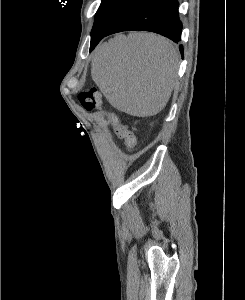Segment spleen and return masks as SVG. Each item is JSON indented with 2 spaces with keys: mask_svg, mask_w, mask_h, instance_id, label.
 <instances>
[{
  "mask_svg": "<svg viewBox=\"0 0 245 300\" xmlns=\"http://www.w3.org/2000/svg\"><path fill=\"white\" fill-rule=\"evenodd\" d=\"M177 69L178 52L169 41L133 33L101 45L92 61L91 75L113 107L145 117L166 106Z\"/></svg>",
  "mask_w": 245,
  "mask_h": 300,
  "instance_id": "obj_1",
  "label": "spleen"
}]
</instances>
